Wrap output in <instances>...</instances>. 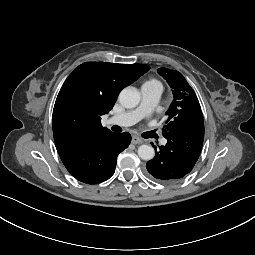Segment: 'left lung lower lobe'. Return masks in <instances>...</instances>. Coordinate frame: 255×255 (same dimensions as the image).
<instances>
[{
	"instance_id": "left-lung-lower-lobe-1",
	"label": "left lung lower lobe",
	"mask_w": 255,
	"mask_h": 255,
	"mask_svg": "<svg viewBox=\"0 0 255 255\" xmlns=\"http://www.w3.org/2000/svg\"><path fill=\"white\" fill-rule=\"evenodd\" d=\"M165 146L155 148V157L146 168L151 177L163 183L176 182L188 175L196 164L204 140L203 119L172 129Z\"/></svg>"
}]
</instances>
